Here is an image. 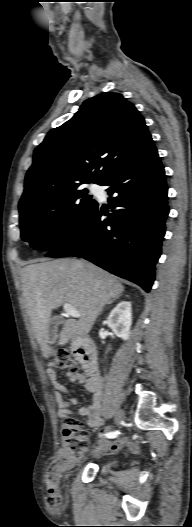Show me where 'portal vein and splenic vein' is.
I'll return each mask as SVG.
<instances>
[{"mask_svg": "<svg viewBox=\"0 0 192 527\" xmlns=\"http://www.w3.org/2000/svg\"><path fill=\"white\" fill-rule=\"evenodd\" d=\"M63 308H64L66 315H69L75 318H79L81 316L80 313L69 303H64Z\"/></svg>", "mask_w": 192, "mask_h": 527, "instance_id": "18ae733b", "label": "portal vein and splenic vein"}]
</instances>
